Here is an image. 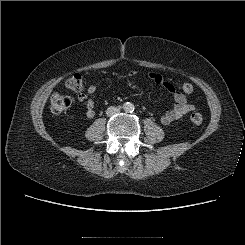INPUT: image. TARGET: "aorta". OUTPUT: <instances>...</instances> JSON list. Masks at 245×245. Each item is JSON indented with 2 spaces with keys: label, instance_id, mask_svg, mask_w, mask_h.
<instances>
[{
  "label": "aorta",
  "instance_id": "762f6f07",
  "mask_svg": "<svg viewBox=\"0 0 245 245\" xmlns=\"http://www.w3.org/2000/svg\"><path fill=\"white\" fill-rule=\"evenodd\" d=\"M123 109H124L125 112L130 113V112H133L134 111L135 107H134V104H132L130 102H127V103H125L123 105Z\"/></svg>",
  "mask_w": 245,
  "mask_h": 245
}]
</instances>
